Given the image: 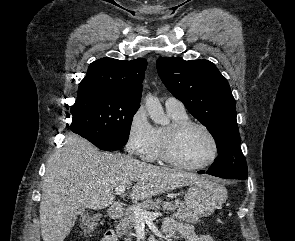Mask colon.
Instances as JSON below:
<instances>
[{"label":"colon","mask_w":295,"mask_h":241,"mask_svg":"<svg viewBox=\"0 0 295 241\" xmlns=\"http://www.w3.org/2000/svg\"><path fill=\"white\" fill-rule=\"evenodd\" d=\"M98 218L96 216H89L83 221V232L85 234L91 233L96 227Z\"/></svg>","instance_id":"1"}]
</instances>
